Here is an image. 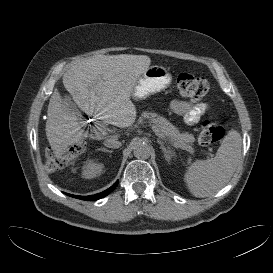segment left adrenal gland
I'll return each instance as SVG.
<instances>
[{
    "instance_id": "obj_1",
    "label": "left adrenal gland",
    "mask_w": 273,
    "mask_h": 273,
    "mask_svg": "<svg viewBox=\"0 0 273 273\" xmlns=\"http://www.w3.org/2000/svg\"><path fill=\"white\" fill-rule=\"evenodd\" d=\"M158 144H160V148L162 149L164 153L165 159L169 162L171 157H172V151L170 147H165L164 142L161 141L160 139H157Z\"/></svg>"
}]
</instances>
